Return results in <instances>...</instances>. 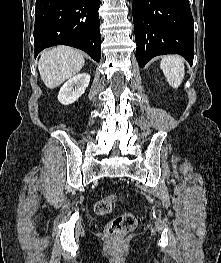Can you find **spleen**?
<instances>
[{"instance_id": "obj_1", "label": "spleen", "mask_w": 221, "mask_h": 263, "mask_svg": "<svg viewBox=\"0 0 221 263\" xmlns=\"http://www.w3.org/2000/svg\"><path fill=\"white\" fill-rule=\"evenodd\" d=\"M160 68L169 85L177 89L181 85L185 75L184 59L177 55L164 56L161 60Z\"/></svg>"}]
</instances>
